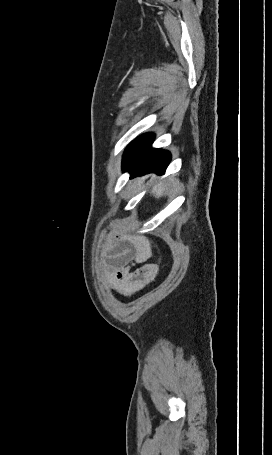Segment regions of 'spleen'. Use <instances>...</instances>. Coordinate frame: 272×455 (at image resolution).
I'll list each match as a JSON object with an SVG mask.
<instances>
[{"mask_svg": "<svg viewBox=\"0 0 272 455\" xmlns=\"http://www.w3.org/2000/svg\"><path fill=\"white\" fill-rule=\"evenodd\" d=\"M153 194L156 198H159L165 195V188L162 184H159L157 187L153 189Z\"/></svg>", "mask_w": 272, "mask_h": 455, "instance_id": "3e777b00", "label": "spleen"}]
</instances>
